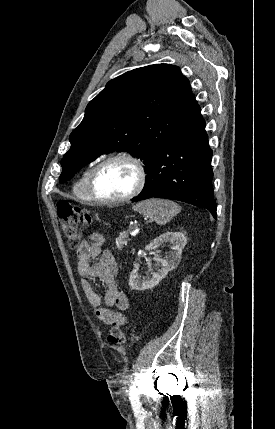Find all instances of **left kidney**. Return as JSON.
Instances as JSON below:
<instances>
[{"mask_svg": "<svg viewBox=\"0 0 275 429\" xmlns=\"http://www.w3.org/2000/svg\"><path fill=\"white\" fill-rule=\"evenodd\" d=\"M167 242L172 244V251L165 259L158 256L154 257L156 271L152 272V277L140 279L136 269H133L130 273L129 286L132 290L143 291L151 289L165 278L168 272L177 267L181 259L182 249L187 243V237L183 232H166L150 242L145 247V250L152 251L159 245Z\"/></svg>", "mask_w": 275, "mask_h": 429, "instance_id": "obj_1", "label": "left kidney"}]
</instances>
